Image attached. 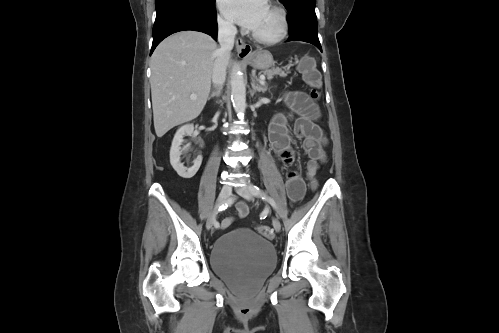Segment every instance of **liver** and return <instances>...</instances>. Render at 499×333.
Here are the masks:
<instances>
[{
	"label": "liver",
	"mask_w": 499,
	"mask_h": 333,
	"mask_svg": "<svg viewBox=\"0 0 499 333\" xmlns=\"http://www.w3.org/2000/svg\"><path fill=\"white\" fill-rule=\"evenodd\" d=\"M217 43L198 31H181L163 40L151 57L154 128L161 138L197 118L211 89ZM191 94L196 99H191Z\"/></svg>",
	"instance_id": "liver-1"
}]
</instances>
